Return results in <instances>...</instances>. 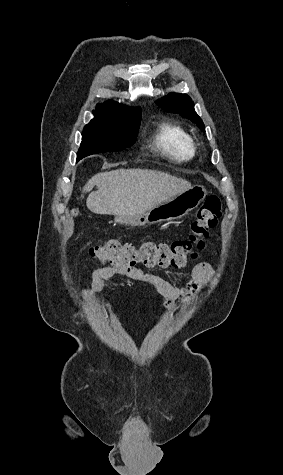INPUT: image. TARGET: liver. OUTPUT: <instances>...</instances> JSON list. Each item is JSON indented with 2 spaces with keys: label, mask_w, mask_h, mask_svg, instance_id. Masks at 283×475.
<instances>
[{
  "label": "liver",
  "mask_w": 283,
  "mask_h": 475,
  "mask_svg": "<svg viewBox=\"0 0 283 475\" xmlns=\"http://www.w3.org/2000/svg\"><path fill=\"white\" fill-rule=\"evenodd\" d=\"M97 186L96 192H91ZM192 188L190 182L154 170H112L88 180L86 206L93 214L134 216ZM84 198V196H81Z\"/></svg>",
  "instance_id": "1"
}]
</instances>
